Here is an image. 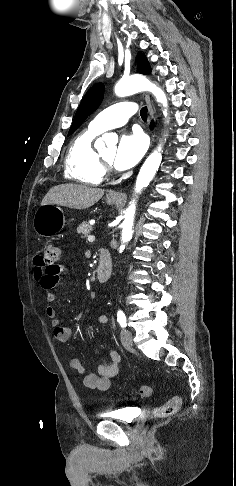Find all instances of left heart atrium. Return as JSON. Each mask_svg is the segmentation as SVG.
Listing matches in <instances>:
<instances>
[{"mask_svg": "<svg viewBox=\"0 0 236 486\" xmlns=\"http://www.w3.org/2000/svg\"><path fill=\"white\" fill-rule=\"evenodd\" d=\"M145 138L140 133L124 134L119 141L113 163L119 170L136 165L146 151Z\"/></svg>", "mask_w": 236, "mask_h": 486, "instance_id": "39dd6f15", "label": "left heart atrium"}]
</instances>
